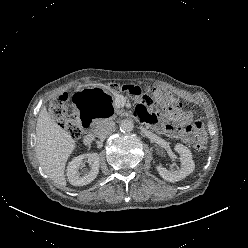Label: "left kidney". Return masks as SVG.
<instances>
[{"mask_svg":"<svg viewBox=\"0 0 248 248\" xmlns=\"http://www.w3.org/2000/svg\"><path fill=\"white\" fill-rule=\"evenodd\" d=\"M174 150L180 154L181 168L175 171H168L162 166H157L156 169L159 175L169 182H177L184 179L194 171L195 164L192 160L191 151L183 144H176Z\"/></svg>","mask_w":248,"mask_h":248,"instance_id":"left-kidney-1","label":"left kidney"}]
</instances>
